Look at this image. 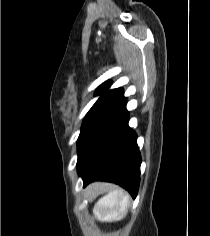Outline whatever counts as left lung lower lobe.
I'll list each match as a JSON object with an SVG mask.
<instances>
[{
	"label": "left lung lower lobe",
	"instance_id": "0a47b994",
	"mask_svg": "<svg viewBox=\"0 0 210 236\" xmlns=\"http://www.w3.org/2000/svg\"><path fill=\"white\" fill-rule=\"evenodd\" d=\"M129 113L123 93L85 126L77 143V170L84 186L109 181L136 197L140 182L141 156L136 134L128 126Z\"/></svg>",
	"mask_w": 210,
	"mask_h": 236
}]
</instances>
